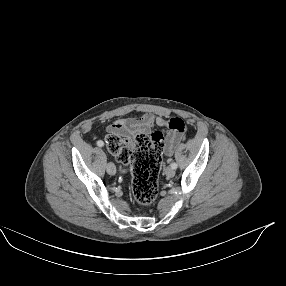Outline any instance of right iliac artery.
I'll use <instances>...</instances> for the list:
<instances>
[{
  "label": "right iliac artery",
  "instance_id": "obj_1",
  "mask_svg": "<svg viewBox=\"0 0 286 286\" xmlns=\"http://www.w3.org/2000/svg\"><path fill=\"white\" fill-rule=\"evenodd\" d=\"M97 145H98L99 147H102V146H104V143H103V141L99 140V141H97Z\"/></svg>",
  "mask_w": 286,
  "mask_h": 286
}]
</instances>
